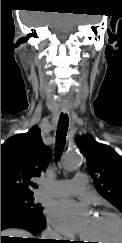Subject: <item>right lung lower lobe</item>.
<instances>
[{
    "mask_svg": "<svg viewBox=\"0 0 122 243\" xmlns=\"http://www.w3.org/2000/svg\"><path fill=\"white\" fill-rule=\"evenodd\" d=\"M45 217L42 212H32L18 207H1V230L5 228H23L33 234L45 227ZM1 242L11 243H55L56 241L31 239H1Z\"/></svg>",
    "mask_w": 122,
    "mask_h": 243,
    "instance_id": "98d812e1",
    "label": "right lung lower lobe"
}]
</instances>
